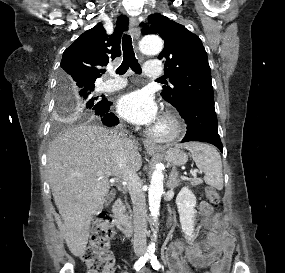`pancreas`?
Listing matches in <instances>:
<instances>
[{
    "instance_id": "pancreas-1",
    "label": "pancreas",
    "mask_w": 285,
    "mask_h": 273,
    "mask_svg": "<svg viewBox=\"0 0 285 273\" xmlns=\"http://www.w3.org/2000/svg\"><path fill=\"white\" fill-rule=\"evenodd\" d=\"M202 182H203L202 179L196 178V179H194V180H191V181H190V184H191L192 186H197V185H199V184H202Z\"/></svg>"
}]
</instances>
